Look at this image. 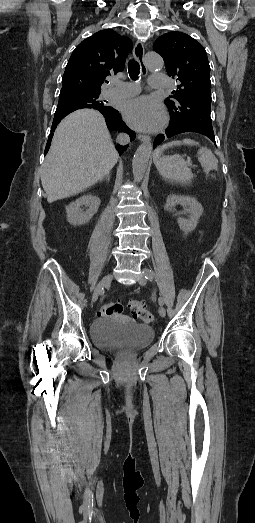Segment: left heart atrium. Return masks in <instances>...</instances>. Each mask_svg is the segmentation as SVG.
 Instances as JSON below:
<instances>
[{
	"label": "left heart atrium",
	"mask_w": 255,
	"mask_h": 523,
	"mask_svg": "<svg viewBox=\"0 0 255 523\" xmlns=\"http://www.w3.org/2000/svg\"><path fill=\"white\" fill-rule=\"evenodd\" d=\"M125 120L140 130H156L165 118L162 104L149 96H140L123 102Z\"/></svg>",
	"instance_id": "left-heart-atrium-1"
}]
</instances>
